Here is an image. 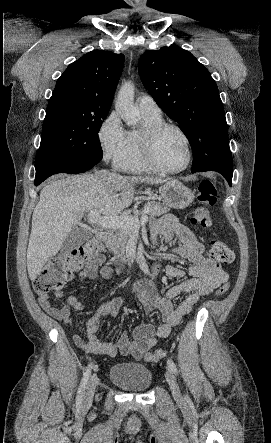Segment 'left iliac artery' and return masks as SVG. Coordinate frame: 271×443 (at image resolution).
Masks as SVG:
<instances>
[{"label":"left iliac artery","instance_id":"left-iliac-artery-1","mask_svg":"<svg viewBox=\"0 0 271 443\" xmlns=\"http://www.w3.org/2000/svg\"><path fill=\"white\" fill-rule=\"evenodd\" d=\"M167 365H168V367L170 368V370H171L174 374H178L177 367H176L175 363H174L171 359H168V360H167Z\"/></svg>","mask_w":271,"mask_h":443}]
</instances>
